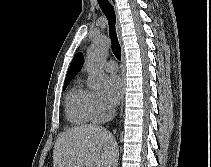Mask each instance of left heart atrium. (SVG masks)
I'll return each instance as SVG.
<instances>
[{
    "mask_svg": "<svg viewBox=\"0 0 211 167\" xmlns=\"http://www.w3.org/2000/svg\"><path fill=\"white\" fill-rule=\"evenodd\" d=\"M104 90L108 103L114 106L122 98L123 82L118 76H108L104 81Z\"/></svg>",
    "mask_w": 211,
    "mask_h": 167,
    "instance_id": "1",
    "label": "left heart atrium"
}]
</instances>
